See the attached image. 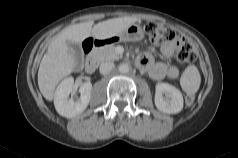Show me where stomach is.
<instances>
[{"label": "stomach", "mask_w": 238, "mask_h": 158, "mask_svg": "<svg viewBox=\"0 0 238 158\" xmlns=\"http://www.w3.org/2000/svg\"><path fill=\"white\" fill-rule=\"evenodd\" d=\"M144 38V31L138 24H131L117 35L108 38L110 43L121 41H140Z\"/></svg>", "instance_id": "1"}]
</instances>
